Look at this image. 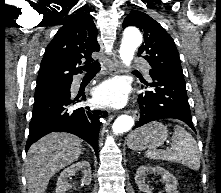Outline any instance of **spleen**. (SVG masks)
<instances>
[{
    "label": "spleen",
    "mask_w": 221,
    "mask_h": 193,
    "mask_svg": "<svg viewBox=\"0 0 221 193\" xmlns=\"http://www.w3.org/2000/svg\"><path fill=\"white\" fill-rule=\"evenodd\" d=\"M146 156L153 160H169L181 163L194 170L200 167V153L196 140L183 127L176 125L171 139V149L151 150Z\"/></svg>",
    "instance_id": "1"
}]
</instances>
